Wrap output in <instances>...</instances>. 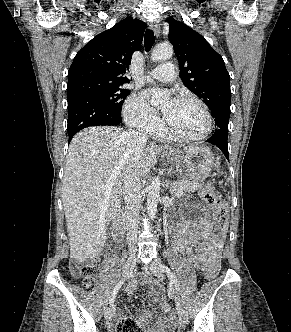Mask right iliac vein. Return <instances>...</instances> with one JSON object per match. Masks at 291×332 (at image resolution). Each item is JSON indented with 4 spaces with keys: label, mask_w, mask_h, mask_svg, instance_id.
<instances>
[{
    "label": "right iliac vein",
    "mask_w": 291,
    "mask_h": 332,
    "mask_svg": "<svg viewBox=\"0 0 291 332\" xmlns=\"http://www.w3.org/2000/svg\"><path fill=\"white\" fill-rule=\"evenodd\" d=\"M137 259L135 257H129L126 261L125 267H124V272H123V278L129 277V275L132 273V271L135 268ZM115 309L114 306H111L108 308L105 312V318L106 320H111L114 316Z\"/></svg>",
    "instance_id": "1"
}]
</instances>
